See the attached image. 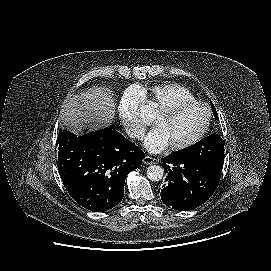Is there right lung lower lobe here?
<instances>
[{
  "label": "right lung lower lobe",
  "instance_id": "1",
  "mask_svg": "<svg viewBox=\"0 0 271 271\" xmlns=\"http://www.w3.org/2000/svg\"><path fill=\"white\" fill-rule=\"evenodd\" d=\"M58 169L72 198L84 208L103 212L123 198L129 172L144 152L118 131L106 128L82 136L59 131Z\"/></svg>",
  "mask_w": 271,
  "mask_h": 271
}]
</instances>
